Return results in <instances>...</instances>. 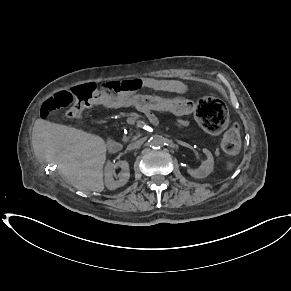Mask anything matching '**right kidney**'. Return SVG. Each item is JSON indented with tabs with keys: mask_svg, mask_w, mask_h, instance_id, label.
Segmentation results:
<instances>
[{
	"mask_svg": "<svg viewBox=\"0 0 291 291\" xmlns=\"http://www.w3.org/2000/svg\"><path fill=\"white\" fill-rule=\"evenodd\" d=\"M120 167L121 173L118 175L119 179L115 180V169ZM105 185L109 190H115L118 187L124 186L130 177L129 164L127 161H119L116 164L108 162L104 170Z\"/></svg>",
	"mask_w": 291,
	"mask_h": 291,
	"instance_id": "obj_1",
	"label": "right kidney"
}]
</instances>
